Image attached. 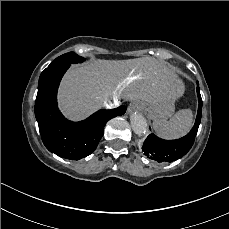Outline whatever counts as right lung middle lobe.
<instances>
[{
  "label": "right lung middle lobe",
  "mask_w": 229,
  "mask_h": 229,
  "mask_svg": "<svg viewBox=\"0 0 229 229\" xmlns=\"http://www.w3.org/2000/svg\"><path fill=\"white\" fill-rule=\"evenodd\" d=\"M85 59L79 55H77L74 52H69L66 54H63L56 58L49 66L46 68L42 73L47 72L48 70L57 68L62 65H70L73 63H80L83 62Z\"/></svg>",
  "instance_id": "1"
}]
</instances>
